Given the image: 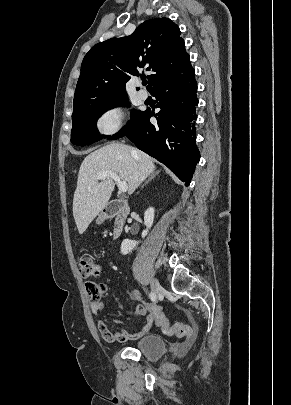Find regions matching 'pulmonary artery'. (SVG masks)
<instances>
[{"instance_id":"obj_1","label":"pulmonary artery","mask_w":291,"mask_h":405,"mask_svg":"<svg viewBox=\"0 0 291 405\" xmlns=\"http://www.w3.org/2000/svg\"><path fill=\"white\" fill-rule=\"evenodd\" d=\"M137 95L141 100H146L148 98V92L144 89H139Z\"/></svg>"}]
</instances>
